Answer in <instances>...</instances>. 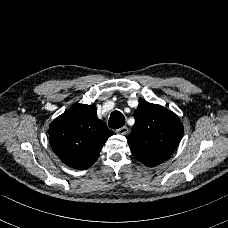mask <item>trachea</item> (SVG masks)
<instances>
[{
  "label": "trachea",
  "instance_id": "1",
  "mask_svg": "<svg viewBox=\"0 0 228 228\" xmlns=\"http://www.w3.org/2000/svg\"><path fill=\"white\" fill-rule=\"evenodd\" d=\"M125 124V117L124 115L115 110L111 113L108 121V125L112 129H118L121 128Z\"/></svg>",
  "mask_w": 228,
  "mask_h": 228
}]
</instances>
